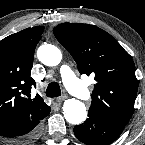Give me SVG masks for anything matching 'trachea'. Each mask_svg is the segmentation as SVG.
Returning <instances> with one entry per match:
<instances>
[{"label": "trachea", "mask_w": 145, "mask_h": 145, "mask_svg": "<svg viewBox=\"0 0 145 145\" xmlns=\"http://www.w3.org/2000/svg\"><path fill=\"white\" fill-rule=\"evenodd\" d=\"M61 95L60 86L57 82H51L46 89L47 97H58Z\"/></svg>", "instance_id": "obj_1"}]
</instances>
